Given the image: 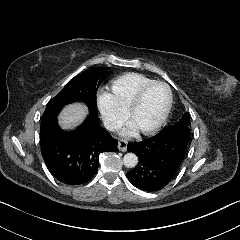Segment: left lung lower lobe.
I'll list each match as a JSON object with an SVG mask.
<instances>
[{"instance_id":"left-lung-lower-lobe-1","label":"left lung lower lobe","mask_w":240,"mask_h":240,"mask_svg":"<svg viewBox=\"0 0 240 240\" xmlns=\"http://www.w3.org/2000/svg\"><path fill=\"white\" fill-rule=\"evenodd\" d=\"M190 136L161 131L141 142L129 143L127 150L138 156V165L127 173L137 188L153 192L163 189L175 176L185 156Z\"/></svg>"}]
</instances>
